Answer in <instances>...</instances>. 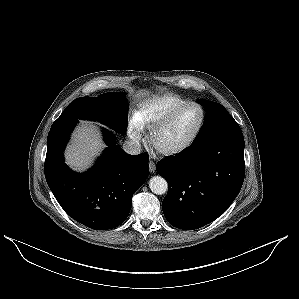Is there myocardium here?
Wrapping results in <instances>:
<instances>
[{
    "instance_id": "obj_1",
    "label": "myocardium",
    "mask_w": 299,
    "mask_h": 299,
    "mask_svg": "<svg viewBox=\"0 0 299 299\" xmlns=\"http://www.w3.org/2000/svg\"><path fill=\"white\" fill-rule=\"evenodd\" d=\"M190 106H196L201 110V120H200V123H199L197 129L193 133V135L184 144H182L181 146H179L177 148L170 149V150L157 149L154 145V139H155V136L157 135V133H159L160 131L165 129L167 126H169L185 109H187ZM205 121H206L205 108L197 102H193V101L188 102V103L176 108L169 115H167L165 118H163L158 123L154 124L149 129L148 143H149L150 147L160 156L174 157V156L180 155V154L184 153L185 151H187L197 141L198 137L200 136V134L204 128Z\"/></svg>"
}]
</instances>
